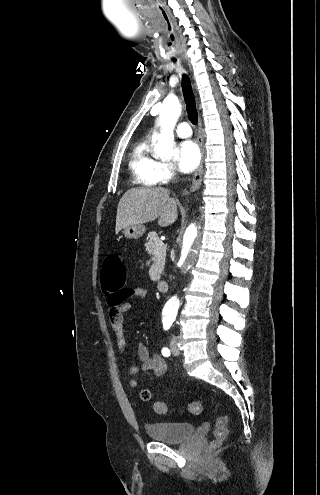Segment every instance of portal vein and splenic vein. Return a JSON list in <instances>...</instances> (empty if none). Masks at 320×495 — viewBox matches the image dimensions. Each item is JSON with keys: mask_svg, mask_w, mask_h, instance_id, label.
I'll return each instance as SVG.
<instances>
[{"mask_svg": "<svg viewBox=\"0 0 320 495\" xmlns=\"http://www.w3.org/2000/svg\"><path fill=\"white\" fill-rule=\"evenodd\" d=\"M158 245H159L160 247H162V246H164V243H163V242H160ZM157 251H158V249H157Z\"/></svg>", "mask_w": 320, "mask_h": 495, "instance_id": "18ae733b", "label": "portal vein and splenic vein"}]
</instances>
